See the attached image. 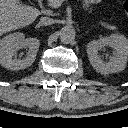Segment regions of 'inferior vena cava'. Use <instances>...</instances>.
<instances>
[{"label": "inferior vena cava", "mask_w": 128, "mask_h": 128, "mask_svg": "<svg viewBox=\"0 0 128 128\" xmlns=\"http://www.w3.org/2000/svg\"><path fill=\"white\" fill-rule=\"evenodd\" d=\"M53 23H54V20L50 17H41L40 21H39V24L41 26H48V25H51Z\"/></svg>", "instance_id": "602c4592"}]
</instances>
